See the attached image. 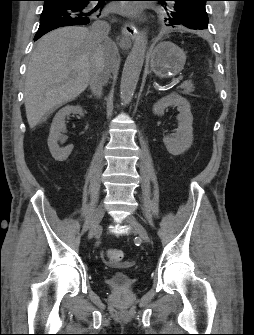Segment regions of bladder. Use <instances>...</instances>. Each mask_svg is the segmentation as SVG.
<instances>
[{
	"label": "bladder",
	"instance_id": "bladder-1",
	"mask_svg": "<svg viewBox=\"0 0 254 335\" xmlns=\"http://www.w3.org/2000/svg\"><path fill=\"white\" fill-rule=\"evenodd\" d=\"M133 276L128 271H114L107 279L108 285L118 291H125L131 288L133 284Z\"/></svg>",
	"mask_w": 254,
	"mask_h": 335
}]
</instances>
